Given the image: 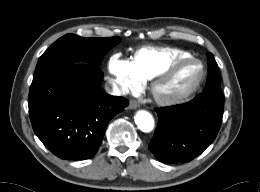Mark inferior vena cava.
<instances>
[{
    "mask_svg": "<svg viewBox=\"0 0 260 192\" xmlns=\"http://www.w3.org/2000/svg\"><path fill=\"white\" fill-rule=\"evenodd\" d=\"M105 91L108 94L114 95V96H121L126 95L128 93L125 86H123L121 83H117L115 79L110 78L105 83Z\"/></svg>",
    "mask_w": 260,
    "mask_h": 192,
    "instance_id": "inferior-vena-cava-1",
    "label": "inferior vena cava"
}]
</instances>
